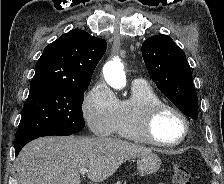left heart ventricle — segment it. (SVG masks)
Here are the masks:
<instances>
[{"label":"left heart ventricle","instance_id":"b2bd125f","mask_svg":"<svg viewBox=\"0 0 224 184\" xmlns=\"http://www.w3.org/2000/svg\"><path fill=\"white\" fill-rule=\"evenodd\" d=\"M184 127L181 120L173 113L166 111L155 121L154 134L163 142H172L180 139Z\"/></svg>","mask_w":224,"mask_h":184}]
</instances>
